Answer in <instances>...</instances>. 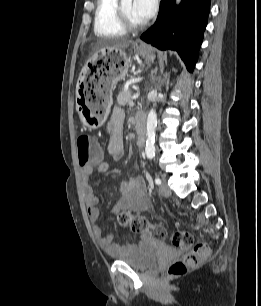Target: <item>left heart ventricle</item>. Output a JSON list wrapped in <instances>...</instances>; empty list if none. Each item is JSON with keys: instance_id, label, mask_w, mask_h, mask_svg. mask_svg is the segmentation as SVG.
I'll return each mask as SVG.
<instances>
[{"instance_id": "obj_1", "label": "left heart ventricle", "mask_w": 261, "mask_h": 306, "mask_svg": "<svg viewBox=\"0 0 261 306\" xmlns=\"http://www.w3.org/2000/svg\"><path fill=\"white\" fill-rule=\"evenodd\" d=\"M122 7L125 11V13L128 15V17L134 22V23H141L143 22L135 13L134 11V0H124L122 2Z\"/></svg>"}]
</instances>
